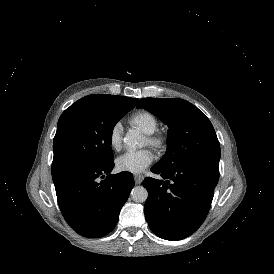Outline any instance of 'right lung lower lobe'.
Instances as JSON below:
<instances>
[{
	"instance_id": "right-lung-lower-lobe-1",
	"label": "right lung lower lobe",
	"mask_w": 274,
	"mask_h": 274,
	"mask_svg": "<svg viewBox=\"0 0 274 274\" xmlns=\"http://www.w3.org/2000/svg\"><path fill=\"white\" fill-rule=\"evenodd\" d=\"M114 162L105 166L80 164L52 171L60 210L80 235L99 238L116 226L122 206L134 186L133 175H111ZM106 178L102 181L101 178Z\"/></svg>"
}]
</instances>
